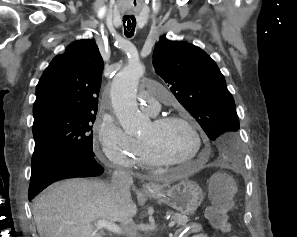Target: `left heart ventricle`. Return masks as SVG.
Returning <instances> with one entry per match:
<instances>
[{"label": "left heart ventricle", "instance_id": "b2bd125f", "mask_svg": "<svg viewBox=\"0 0 297 237\" xmlns=\"http://www.w3.org/2000/svg\"><path fill=\"white\" fill-rule=\"evenodd\" d=\"M140 140L148 142L170 160L189 158L197 149L192 132L182 123L156 126L150 121L140 136Z\"/></svg>", "mask_w": 297, "mask_h": 237}]
</instances>
